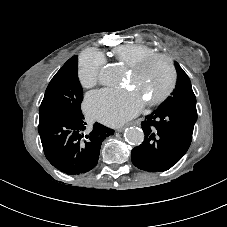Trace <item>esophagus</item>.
Masks as SVG:
<instances>
[{
  "label": "esophagus",
  "instance_id": "34e87169",
  "mask_svg": "<svg viewBox=\"0 0 227 227\" xmlns=\"http://www.w3.org/2000/svg\"><path fill=\"white\" fill-rule=\"evenodd\" d=\"M135 124H136V125H139L140 123H139V121H136V122H135V121H130V123L124 124V127L118 128V129H117V132L121 133V132H123L125 129L131 128V126H135Z\"/></svg>",
  "mask_w": 227,
  "mask_h": 227
}]
</instances>
